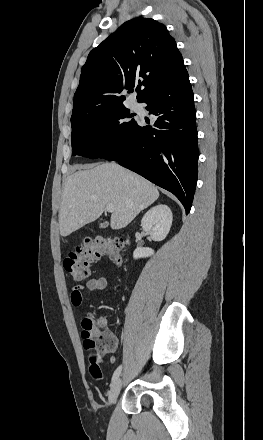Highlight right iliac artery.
<instances>
[{"instance_id": "right-iliac-artery-1", "label": "right iliac artery", "mask_w": 263, "mask_h": 440, "mask_svg": "<svg viewBox=\"0 0 263 440\" xmlns=\"http://www.w3.org/2000/svg\"><path fill=\"white\" fill-rule=\"evenodd\" d=\"M122 370V365L118 366L117 369L114 371V374L112 376V383L119 377Z\"/></svg>"}]
</instances>
